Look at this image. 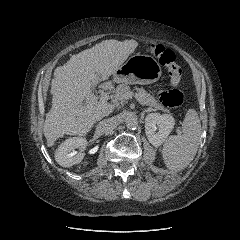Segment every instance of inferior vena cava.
<instances>
[{
  "mask_svg": "<svg viewBox=\"0 0 240 240\" xmlns=\"http://www.w3.org/2000/svg\"><path fill=\"white\" fill-rule=\"evenodd\" d=\"M115 123L114 118L104 119L97 124L96 131L100 134L109 132L114 128Z\"/></svg>",
  "mask_w": 240,
  "mask_h": 240,
  "instance_id": "inferior-vena-cava-1",
  "label": "inferior vena cava"
}]
</instances>
